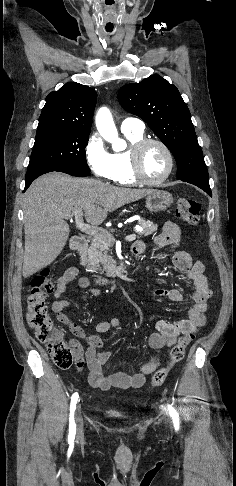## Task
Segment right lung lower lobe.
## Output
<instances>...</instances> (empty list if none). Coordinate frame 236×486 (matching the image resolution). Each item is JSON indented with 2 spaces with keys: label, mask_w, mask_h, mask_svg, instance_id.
I'll list each match as a JSON object with an SVG mask.
<instances>
[{
  "label": "right lung lower lobe",
  "mask_w": 236,
  "mask_h": 486,
  "mask_svg": "<svg viewBox=\"0 0 236 486\" xmlns=\"http://www.w3.org/2000/svg\"><path fill=\"white\" fill-rule=\"evenodd\" d=\"M52 171H58V172H63L67 173L72 176H77V177H85L90 175V172H84V171H79V170H71V169H64V168H53V167H39L31 170H27L26 176H25V189L24 191L30 186L33 180H35L37 177H39L42 174L52 172Z\"/></svg>",
  "instance_id": "right-lung-lower-lobe-1"
}]
</instances>
